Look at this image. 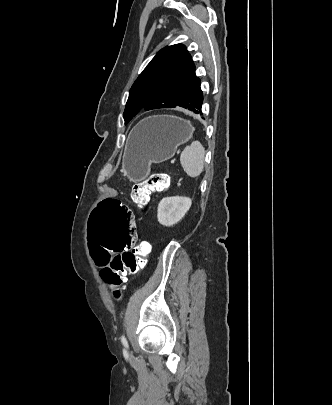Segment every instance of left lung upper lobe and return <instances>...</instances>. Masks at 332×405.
<instances>
[{"mask_svg":"<svg viewBox=\"0 0 332 405\" xmlns=\"http://www.w3.org/2000/svg\"><path fill=\"white\" fill-rule=\"evenodd\" d=\"M200 79L182 44L160 50L138 76L123 114L127 124L141 109L183 107L194 109L200 100Z\"/></svg>","mask_w":332,"mask_h":405,"instance_id":"left-lung-upper-lobe-1","label":"left lung upper lobe"}]
</instances>
